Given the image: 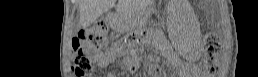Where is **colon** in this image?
<instances>
[{"label":"colon","mask_w":258,"mask_h":77,"mask_svg":"<svg viewBox=\"0 0 258 77\" xmlns=\"http://www.w3.org/2000/svg\"><path fill=\"white\" fill-rule=\"evenodd\" d=\"M107 27L102 22H95L91 26L81 29L73 40L75 49L74 72L81 76L90 69L89 59L82 53L83 48L90 50L103 49L107 45ZM220 52V42L213 33H208L204 40V61L211 73L217 72L216 57Z\"/></svg>","instance_id":"colon-1"}]
</instances>
